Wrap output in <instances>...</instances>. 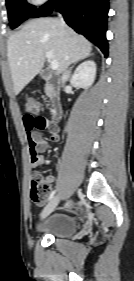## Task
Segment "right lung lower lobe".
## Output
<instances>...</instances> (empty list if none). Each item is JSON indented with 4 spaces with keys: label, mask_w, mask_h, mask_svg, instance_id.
<instances>
[{
    "label": "right lung lower lobe",
    "mask_w": 134,
    "mask_h": 281,
    "mask_svg": "<svg viewBox=\"0 0 134 281\" xmlns=\"http://www.w3.org/2000/svg\"><path fill=\"white\" fill-rule=\"evenodd\" d=\"M54 6L64 15L70 27L94 42L107 56L106 24L109 0H50L33 17L50 15Z\"/></svg>",
    "instance_id": "obj_1"
}]
</instances>
